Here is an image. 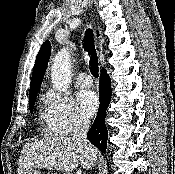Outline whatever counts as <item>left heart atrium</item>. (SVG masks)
Segmentation results:
<instances>
[{"label": "left heart atrium", "instance_id": "39dd6f15", "mask_svg": "<svg viewBox=\"0 0 175 174\" xmlns=\"http://www.w3.org/2000/svg\"><path fill=\"white\" fill-rule=\"evenodd\" d=\"M78 102L86 116H92L97 111L99 101L97 95L90 90H84L78 94Z\"/></svg>", "mask_w": 175, "mask_h": 174}]
</instances>
